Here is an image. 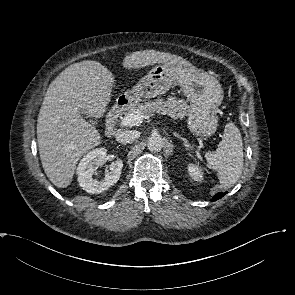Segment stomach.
<instances>
[{"mask_svg": "<svg viewBox=\"0 0 295 295\" xmlns=\"http://www.w3.org/2000/svg\"><path fill=\"white\" fill-rule=\"evenodd\" d=\"M177 83L190 105L187 124L191 133L208 137L218 126L217 110L223 101V90L212 75L193 66L162 64L153 67L132 89L117 98L129 105L138 104L142 98L166 93Z\"/></svg>", "mask_w": 295, "mask_h": 295, "instance_id": "1", "label": "stomach"}]
</instances>
